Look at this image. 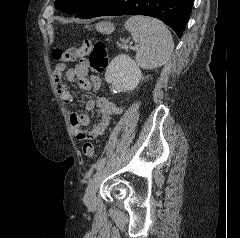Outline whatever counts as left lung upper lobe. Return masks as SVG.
<instances>
[{"mask_svg": "<svg viewBox=\"0 0 240 238\" xmlns=\"http://www.w3.org/2000/svg\"><path fill=\"white\" fill-rule=\"evenodd\" d=\"M92 0H55V7L68 14H79Z\"/></svg>", "mask_w": 240, "mask_h": 238, "instance_id": "5c2ea615", "label": "left lung upper lobe"}]
</instances>
